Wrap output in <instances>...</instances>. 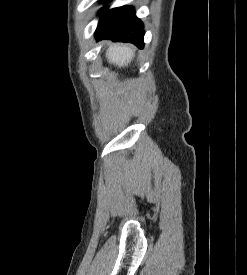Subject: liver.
Here are the masks:
<instances>
[{"label": "liver", "mask_w": 247, "mask_h": 275, "mask_svg": "<svg viewBox=\"0 0 247 275\" xmlns=\"http://www.w3.org/2000/svg\"><path fill=\"white\" fill-rule=\"evenodd\" d=\"M134 56V49L127 45L113 44L106 51L108 62L119 68L128 66Z\"/></svg>", "instance_id": "liver-1"}]
</instances>
